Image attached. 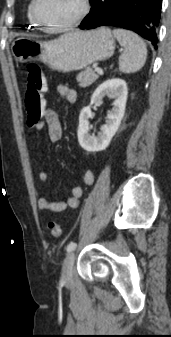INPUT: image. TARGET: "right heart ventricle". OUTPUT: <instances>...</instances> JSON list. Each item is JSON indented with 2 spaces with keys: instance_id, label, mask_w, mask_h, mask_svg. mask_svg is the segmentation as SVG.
Instances as JSON below:
<instances>
[{
  "instance_id": "1",
  "label": "right heart ventricle",
  "mask_w": 171,
  "mask_h": 337,
  "mask_svg": "<svg viewBox=\"0 0 171 337\" xmlns=\"http://www.w3.org/2000/svg\"><path fill=\"white\" fill-rule=\"evenodd\" d=\"M31 8H32V0L29 1L27 5V9H26V20H27L28 27L38 28L40 26L36 23L35 19L33 18Z\"/></svg>"
}]
</instances>
